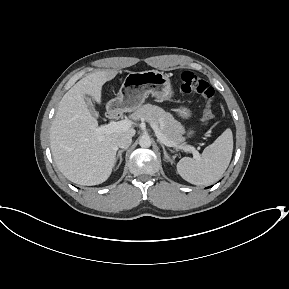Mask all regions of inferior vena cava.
<instances>
[{
	"instance_id": "inferior-vena-cava-1",
	"label": "inferior vena cava",
	"mask_w": 289,
	"mask_h": 289,
	"mask_svg": "<svg viewBox=\"0 0 289 289\" xmlns=\"http://www.w3.org/2000/svg\"><path fill=\"white\" fill-rule=\"evenodd\" d=\"M132 143V137L128 134H123L118 137L116 145L119 148L127 149Z\"/></svg>"
}]
</instances>
